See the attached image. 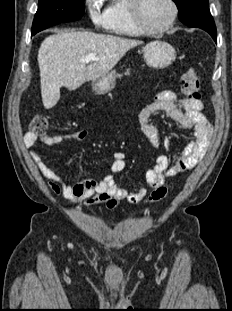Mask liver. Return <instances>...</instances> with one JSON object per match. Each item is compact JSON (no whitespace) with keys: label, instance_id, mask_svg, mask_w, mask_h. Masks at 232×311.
<instances>
[{"label":"liver","instance_id":"6515ba94","mask_svg":"<svg viewBox=\"0 0 232 311\" xmlns=\"http://www.w3.org/2000/svg\"><path fill=\"white\" fill-rule=\"evenodd\" d=\"M142 41L92 32L64 31L44 39L38 51L41 95L45 109L60 99V88H79L86 81L107 75L120 59ZM94 53L99 60L86 65Z\"/></svg>","mask_w":232,"mask_h":311}]
</instances>
